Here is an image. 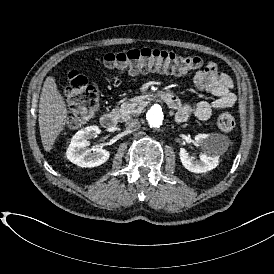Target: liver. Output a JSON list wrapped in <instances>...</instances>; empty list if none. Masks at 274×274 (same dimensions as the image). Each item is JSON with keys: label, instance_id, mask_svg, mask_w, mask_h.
<instances>
[{"label": "liver", "instance_id": "1", "mask_svg": "<svg viewBox=\"0 0 274 274\" xmlns=\"http://www.w3.org/2000/svg\"><path fill=\"white\" fill-rule=\"evenodd\" d=\"M38 112L41 143L44 150L50 153L58 136L70 121L68 105L52 75L44 82Z\"/></svg>", "mask_w": 274, "mask_h": 274}]
</instances>
